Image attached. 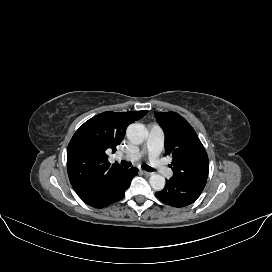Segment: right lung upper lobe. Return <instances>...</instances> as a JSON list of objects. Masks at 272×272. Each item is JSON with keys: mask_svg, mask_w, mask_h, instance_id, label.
<instances>
[{"mask_svg": "<svg viewBox=\"0 0 272 272\" xmlns=\"http://www.w3.org/2000/svg\"><path fill=\"white\" fill-rule=\"evenodd\" d=\"M146 110L136 112H103L86 121L73 135L67 148V170L76 193L85 191L112 171L105 151L116 150L129 124L141 119Z\"/></svg>", "mask_w": 272, "mask_h": 272, "instance_id": "cb5924a9", "label": "right lung upper lobe"}]
</instances>
